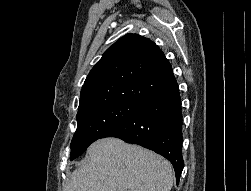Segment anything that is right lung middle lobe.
<instances>
[{
  "label": "right lung middle lobe",
  "mask_w": 251,
  "mask_h": 191,
  "mask_svg": "<svg viewBox=\"0 0 251 191\" xmlns=\"http://www.w3.org/2000/svg\"><path fill=\"white\" fill-rule=\"evenodd\" d=\"M140 106L127 102H108L78 111L77 130L71 141L70 160L81 155L91 143L125 121Z\"/></svg>",
  "instance_id": "right-lung-middle-lobe-1"
}]
</instances>
